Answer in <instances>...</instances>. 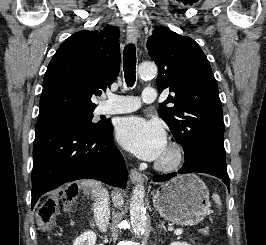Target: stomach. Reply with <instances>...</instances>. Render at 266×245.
I'll return each mask as SVG.
<instances>
[{
	"label": "stomach",
	"mask_w": 266,
	"mask_h": 245,
	"mask_svg": "<svg viewBox=\"0 0 266 245\" xmlns=\"http://www.w3.org/2000/svg\"><path fill=\"white\" fill-rule=\"evenodd\" d=\"M153 203L163 219L192 227L201 223L209 211V191L197 175H181L162 185Z\"/></svg>",
	"instance_id": "stomach-1"
}]
</instances>
